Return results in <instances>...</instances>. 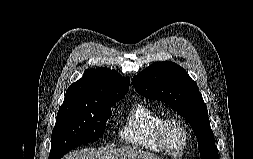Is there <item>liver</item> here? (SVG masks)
<instances>
[{"mask_svg":"<svg viewBox=\"0 0 253 159\" xmlns=\"http://www.w3.org/2000/svg\"><path fill=\"white\" fill-rule=\"evenodd\" d=\"M62 159H159L150 152L125 147L120 149L101 148V149H82L80 151L70 152Z\"/></svg>","mask_w":253,"mask_h":159,"instance_id":"6515ba94","label":"liver"}]
</instances>
